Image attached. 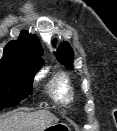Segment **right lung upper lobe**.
<instances>
[{"instance_id": "1", "label": "right lung upper lobe", "mask_w": 117, "mask_h": 131, "mask_svg": "<svg viewBox=\"0 0 117 131\" xmlns=\"http://www.w3.org/2000/svg\"><path fill=\"white\" fill-rule=\"evenodd\" d=\"M42 55L43 50L37 36L23 30L17 41H10L5 46L3 58L0 60V69L22 67L29 74L34 75L44 63Z\"/></svg>"}]
</instances>
